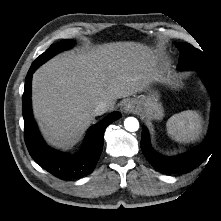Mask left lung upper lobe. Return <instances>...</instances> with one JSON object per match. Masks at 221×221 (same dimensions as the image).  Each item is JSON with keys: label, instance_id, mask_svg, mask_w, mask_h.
<instances>
[{"label": "left lung upper lobe", "instance_id": "left-lung-upper-lobe-1", "mask_svg": "<svg viewBox=\"0 0 221 221\" xmlns=\"http://www.w3.org/2000/svg\"><path fill=\"white\" fill-rule=\"evenodd\" d=\"M176 46L180 51L179 68L208 71L214 74L206 56L199 49L182 42L177 43Z\"/></svg>", "mask_w": 221, "mask_h": 221}]
</instances>
